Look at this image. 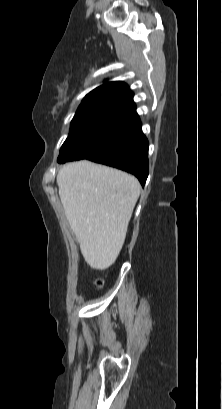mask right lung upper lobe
<instances>
[{"mask_svg": "<svg viewBox=\"0 0 222 409\" xmlns=\"http://www.w3.org/2000/svg\"><path fill=\"white\" fill-rule=\"evenodd\" d=\"M96 107H124L130 110L135 108L133 93L120 81L104 83L88 93L78 109Z\"/></svg>", "mask_w": 222, "mask_h": 409, "instance_id": "cb5924a9", "label": "right lung upper lobe"}]
</instances>
